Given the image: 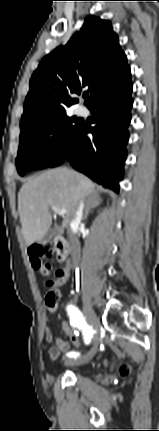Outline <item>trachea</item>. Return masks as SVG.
Listing matches in <instances>:
<instances>
[{
	"label": "trachea",
	"instance_id": "1",
	"mask_svg": "<svg viewBox=\"0 0 159 431\" xmlns=\"http://www.w3.org/2000/svg\"><path fill=\"white\" fill-rule=\"evenodd\" d=\"M84 98H88V94H85V95H84Z\"/></svg>",
	"mask_w": 159,
	"mask_h": 431
}]
</instances>
